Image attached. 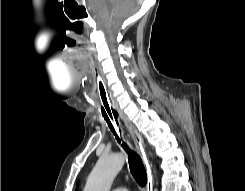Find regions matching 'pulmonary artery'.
I'll return each mask as SVG.
<instances>
[{
	"label": "pulmonary artery",
	"instance_id": "pulmonary-artery-1",
	"mask_svg": "<svg viewBox=\"0 0 245 191\" xmlns=\"http://www.w3.org/2000/svg\"><path fill=\"white\" fill-rule=\"evenodd\" d=\"M113 191H129V190L126 188H116Z\"/></svg>",
	"mask_w": 245,
	"mask_h": 191
}]
</instances>
